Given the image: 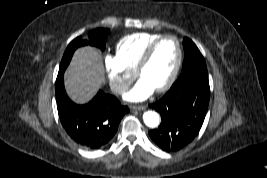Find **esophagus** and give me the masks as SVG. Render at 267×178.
<instances>
[{"mask_svg":"<svg viewBox=\"0 0 267 178\" xmlns=\"http://www.w3.org/2000/svg\"><path fill=\"white\" fill-rule=\"evenodd\" d=\"M132 110H145L146 106L145 105H140V106H132Z\"/></svg>","mask_w":267,"mask_h":178,"instance_id":"1","label":"esophagus"}]
</instances>
